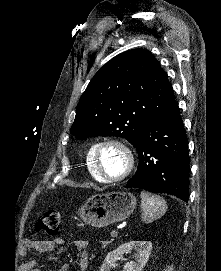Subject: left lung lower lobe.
I'll use <instances>...</instances> for the list:
<instances>
[{
    "mask_svg": "<svg viewBox=\"0 0 221 271\" xmlns=\"http://www.w3.org/2000/svg\"><path fill=\"white\" fill-rule=\"evenodd\" d=\"M139 165L127 188L169 193L189 199L188 140L176 101L167 111L149 121L133 144Z\"/></svg>",
    "mask_w": 221,
    "mask_h": 271,
    "instance_id": "left-lung-lower-lobe-1",
    "label": "left lung lower lobe"
}]
</instances>
